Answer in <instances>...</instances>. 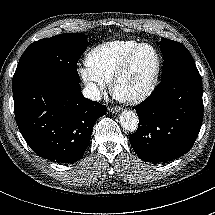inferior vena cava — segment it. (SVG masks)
Listing matches in <instances>:
<instances>
[{
  "label": "inferior vena cava",
  "instance_id": "602c4592",
  "mask_svg": "<svg viewBox=\"0 0 215 215\" xmlns=\"http://www.w3.org/2000/svg\"><path fill=\"white\" fill-rule=\"evenodd\" d=\"M82 94L85 98L93 101H100L102 96L97 88L96 84L93 82H88L82 90Z\"/></svg>",
  "mask_w": 215,
  "mask_h": 215
}]
</instances>
